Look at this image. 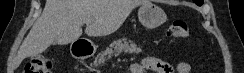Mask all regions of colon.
<instances>
[{
    "label": "colon",
    "instance_id": "1",
    "mask_svg": "<svg viewBox=\"0 0 244 73\" xmlns=\"http://www.w3.org/2000/svg\"><path fill=\"white\" fill-rule=\"evenodd\" d=\"M169 34L174 40L188 41L190 32L184 20H173L169 26ZM52 62L43 57H34L28 62L23 73H51Z\"/></svg>",
    "mask_w": 244,
    "mask_h": 73
}]
</instances>
